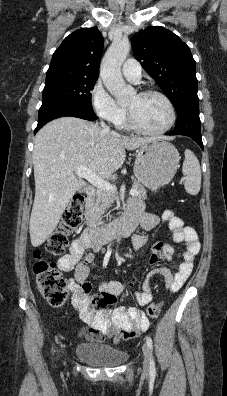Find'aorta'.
Returning <instances> with one entry per match:
<instances>
[{
	"mask_svg": "<svg viewBox=\"0 0 227 396\" xmlns=\"http://www.w3.org/2000/svg\"><path fill=\"white\" fill-rule=\"evenodd\" d=\"M130 51L128 40H115L107 50L101 64V78L111 95L118 103L128 101L130 89L126 86L121 75V66ZM121 232L117 241L121 240Z\"/></svg>",
	"mask_w": 227,
	"mask_h": 396,
	"instance_id": "1",
	"label": "aorta"
}]
</instances>
